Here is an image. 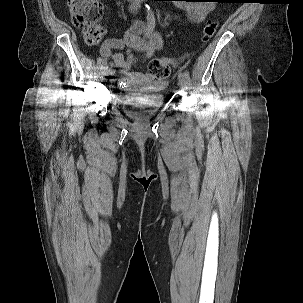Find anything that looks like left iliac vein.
I'll return each mask as SVG.
<instances>
[{"label":"left iliac vein","mask_w":303,"mask_h":303,"mask_svg":"<svg viewBox=\"0 0 303 303\" xmlns=\"http://www.w3.org/2000/svg\"><path fill=\"white\" fill-rule=\"evenodd\" d=\"M187 84L188 83H187L186 76H185L184 72L180 73L179 77H178V85L180 86V88L183 89L187 86Z\"/></svg>","instance_id":"1"}]
</instances>
